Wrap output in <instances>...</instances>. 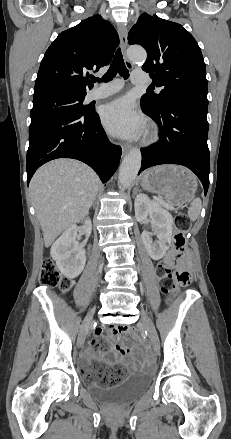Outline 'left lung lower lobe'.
Instances as JSON below:
<instances>
[{
  "label": "left lung lower lobe",
  "instance_id": "left-lung-lower-lobe-1",
  "mask_svg": "<svg viewBox=\"0 0 231 439\" xmlns=\"http://www.w3.org/2000/svg\"><path fill=\"white\" fill-rule=\"evenodd\" d=\"M141 108L160 128V141L141 149L144 169L160 164H179L191 169L209 187L210 156L207 145L208 100L205 96L182 94L165 101L158 109Z\"/></svg>",
  "mask_w": 231,
  "mask_h": 439
}]
</instances>
